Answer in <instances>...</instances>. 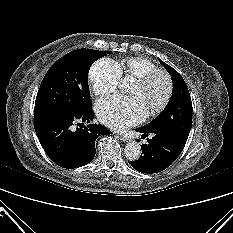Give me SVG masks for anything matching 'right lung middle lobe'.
<instances>
[{
	"label": "right lung middle lobe",
	"instance_id": "right-lung-middle-lobe-1",
	"mask_svg": "<svg viewBox=\"0 0 233 233\" xmlns=\"http://www.w3.org/2000/svg\"><path fill=\"white\" fill-rule=\"evenodd\" d=\"M110 51L78 49L58 59L46 73L36 96L34 118L74 113L91 106L88 72Z\"/></svg>",
	"mask_w": 233,
	"mask_h": 233
}]
</instances>
